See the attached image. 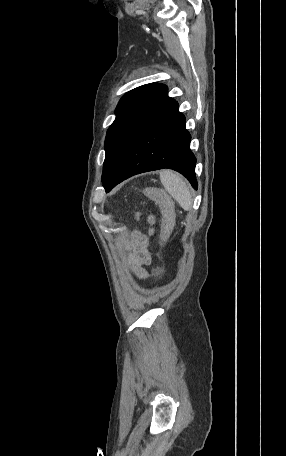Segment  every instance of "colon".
I'll list each match as a JSON object with an SVG mask.
<instances>
[{
	"instance_id": "colon-1",
	"label": "colon",
	"mask_w": 286,
	"mask_h": 456,
	"mask_svg": "<svg viewBox=\"0 0 286 456\" xmlns=\"http://www.w3.org/2000/svg\"><path fill=\"white\" fill-rule=\"evenodd\" d=\"M145 195L152 198L160 207L163 215V240L168 237L172 228L173 206L168 195L158 187H146L143 191ZM162 268H157L156 273H162Z\"/></svg>"
}]
</instances>
